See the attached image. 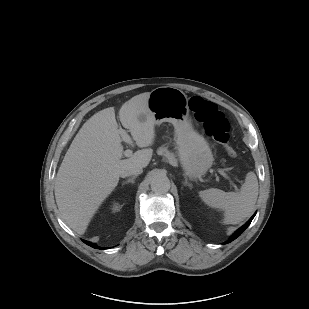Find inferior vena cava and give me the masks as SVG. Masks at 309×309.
I'll return each mask as SVG.
<instances>
[{"mask_svg": "<svg viewBox=\"0 0 309 309\" xmlns=\"http://www.w3.org/2000/svg\"><path fill=\"white\" fill-rule=\"evenodd\" d=\"M143 172V169L142 167L140 166H133V167H130L126 170H123L120 174L121 177H127V176H131V175H139Z\"/></svg>", "mask_w": 309, "mask_h": 309, "instance_id": "1", "label": "inferior vena cava"}]
</instances>
